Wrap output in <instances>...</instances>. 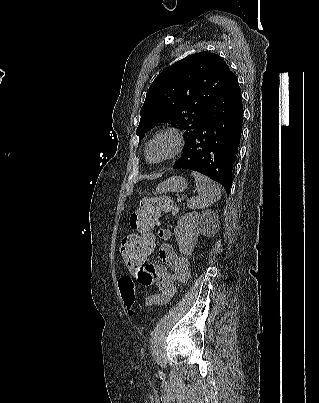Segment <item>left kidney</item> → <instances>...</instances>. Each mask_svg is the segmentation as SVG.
I'll use <instances>...</instances> for the list:
<instances>
[{
    "label": "left kidney",
    "mask_w": 319,
    "mask_h": 403,
    "mask_svg": "<svg viewBox=\"0 0 319 403\" xmlns=\"http://www.w3.org/2000/svg\"><path fill=\"white\" fill-rule=\"evenodd\" d=\"M211 219H218L213 210H206L201 214L189 212L178 220L174 234L179 249L183 254L190 255L193 252L199 234L206 232V227L211 222Z\"/></svg>",
    "instance_id": "left-kidney-1"
}]
</instances>
